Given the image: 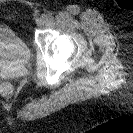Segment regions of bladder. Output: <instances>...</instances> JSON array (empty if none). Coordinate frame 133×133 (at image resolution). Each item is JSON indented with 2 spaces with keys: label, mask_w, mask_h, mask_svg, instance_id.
Returning <instances> with one entry per match:
<instances>
[{
  "label": "bladder",
  "mask_w": 133,
  "mask_h": 133,
  "mask_svg": "<svg viewBox=\"0 0 133 133\" xmlns=\"http://www.w3.org/2000/svg\"><path fill=\"white\" fill-rule=\"evenodd\" d=\"M31 51L22 37L11 27L0 24V63L24 64Z\"/></svg>",
  "instance_id": "bladder-1"
}]
</instances>
